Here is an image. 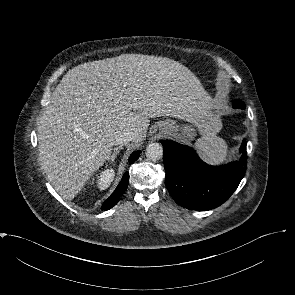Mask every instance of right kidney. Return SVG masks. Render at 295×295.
Here are the masks:
<instances>
[{
	"label": "right kidney",
	"instance_id": "right-kidney-1",
	"mask_svg": "<svg viewBox=\"0 0 295 295\" xmlns=\"http://www.w3.org/2000/svg\"><path fill=\"white\" fill-rule=\"evenodd\" d=\"M115 172L112 168L102 171L99 176H97L96 184L100 190H105L109 187L113 181Z\"/></svg>",
	"mask_w": 295,
	"mask_h": 295
}]
</instances>
